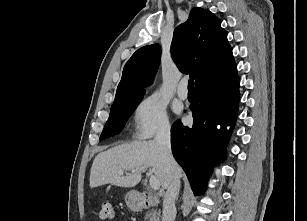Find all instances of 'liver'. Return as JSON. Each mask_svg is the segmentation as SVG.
I'll list each match as a JSON object with an SVG mask.
<instances>
[{
	"label": "liver",
	"instance_id": "6515ba94",
	"mask_svg": "<svg viewBox=\"0 0 307 221\" xmlns=\"http://www.w3.org/2000/svg\"><path fill=\"white\" fill-rule=\"evenodd\" d=\"M151 167L153 173L166 189L169 185L170 170L165 155L155 140L134 141L112 147L100 152L94 159L90 172V187L112 184L119 187H134L142 172ZM130 172L125 176L120 172ZM179 178L182 169L177 164L175 169Z\"/></svg>",
	"mask_w": 307,
	"mask_h": 221
}]
</instances>
